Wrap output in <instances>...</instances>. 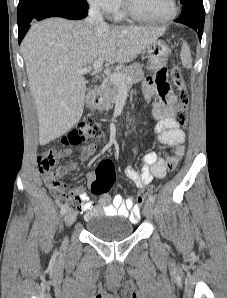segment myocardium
<instances>
[{"label": "myocardium", "mask_w": 227, "mask_h": 298, "mask_svg": "<svg viewBox=\"0 0 227 298\" xmlns=\"http://www.w3.org/2000/svg\"><path fill=\"white\" fill-rule=\"evenodd\" d=\"M179 11V6L177 0H171V11L168 15L161 17V18H151L147 16H143L139 13H137L128 3L127 0H123V12L126 16L129 18L139 21V22H144V23H154V24H163L170 22L173 20Z\"/></svg>", "instance_id": "1"}]
</instances>
